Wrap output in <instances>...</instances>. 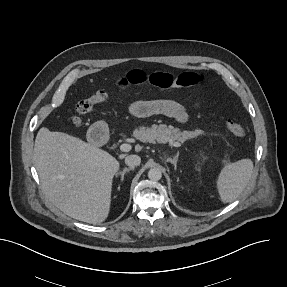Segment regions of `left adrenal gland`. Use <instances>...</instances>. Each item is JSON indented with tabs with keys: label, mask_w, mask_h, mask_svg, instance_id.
<instances>
[{
	"label": "left adrenal gland",
	"mask_w": 287,
	"mask_h": 287,
	"mask_svg": "<svg viewBox=\"0 0 287 287\" xmlns=\"http://www.w3.org/2000/svg\"><path fill=\"white\" fill-rule=\"evenodd\" d=\"M177 161H178V153L177 155L172 159L170 157H167L166 158V162H170L174 165V168L176 169L177 168Z\"/></svg>",
	"instance_id": "obj_1"
}]
</instances>
